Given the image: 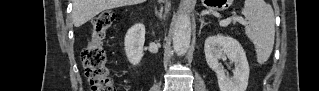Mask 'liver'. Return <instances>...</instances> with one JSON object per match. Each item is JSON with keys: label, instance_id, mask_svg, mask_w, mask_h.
Here are the masks:
<instances>
[{"label": "liver", "instance_id": "obj_1", "mask_svg": "<svg viewBox=\"0 0 319 91\" xmlns=\"http://www.w3.org/2000/svg\"><path fill=\"white\" fill-rule=\"evenodd\" d=\"M145 0H73V23L80 27L99 13L113 8L143 3Z\"/></svg>", "mask_w": 319, "mask_h": 91}]
</instances>
